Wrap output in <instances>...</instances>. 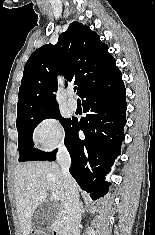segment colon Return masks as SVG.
Segmentation results:
<instances>
[{"label": "colon", "instance_id": "colon-1", "mask_svg": "<svg viewBox=\"0 0 155 235\" xmlns=\"http://www.w3.org/2000/svg\"><path fill=\"white\" fill-rule=\"evenodd\" d=\"M31 235H45V234L42 232H33Z\"/></svg>", "mask_w": 155, "mask_h": 235}]
</instances>
